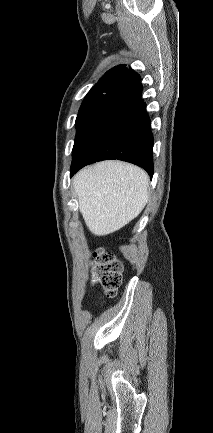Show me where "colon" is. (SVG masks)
<instances>
[{
    "label": "colon",
    "instance_id": "obj_1",
    "mask_svg": "<svg viewBox=\"0 0 213 433\" xmlns=\"http://www.w3.org/2000/svg\"><path fill=\"white\" fill-rule=\"evenodd\" d=\"M122 263L110 252L98 249L94 253L93 283L100 285L108 296H114L122 282Z\"/></svg>",
    "mask_w": 213,
    "mask_h": 433
}]
</instances>
